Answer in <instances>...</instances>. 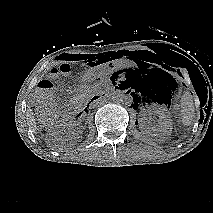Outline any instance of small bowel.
Masks as SVG:
<instances>
[{
    "label": "small bowel",
    "mask_w": 213,
    "mask_h": 213,
    "mask_svg": "<svg viewBox=\"0 0 213 213\" xmlns=\"http://www.w3.org/2000/svg\"><path fill=\"white\" fill-rule=\"evenodd\" d=\"M113 80L114 82L118 85V86H122L125 84L126 80H127V73L124 72H116L113 75ZM150 102L152 103H157V100L153 99L152 101L150 100Z\"/></svg>",
    "instance_id": "c3829d8e"
}]
</instances>
